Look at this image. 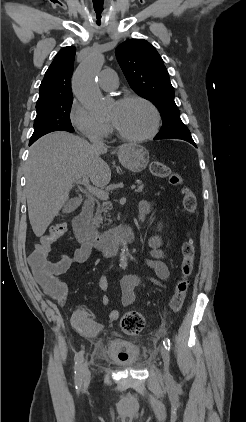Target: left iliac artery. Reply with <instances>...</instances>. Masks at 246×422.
Instances as JSON below:
<instances>
[{"mask_svg":"<svg viewBox=\"0 0 246 422\" xmlns=\"http://www.w3.org/2000/svg\"><path fill=\"white\" fill-rule=\"evenodd\" d=\"M164 347L169 351L171 347V342L168 338H165L163 341Z\"/></svg>","mask_w":246,"mask_h":422,"instance_id":"obj_1","label":"left iliac artery"}]
</instances>
